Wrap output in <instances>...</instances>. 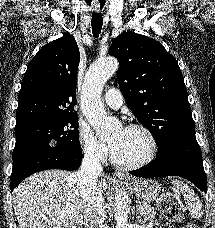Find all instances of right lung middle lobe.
Wrapping results in <instances>:
<instances>
[{
    "mask_svg": "<svg viewBox=\"0 0 215 228\" xmlns=\"http://www.w3.org/2000/svg\"><path fill=\"white\" fill-rule=\"evenodd\" d=\"M77 115L39 117L16 123L13 159L38 149L81 152Z\"/></svg>",
    "mask_w": 215,
    "mask_h": 228,
    "instance_id": "1",
    "label": "right lung middle lobe"
}]
</instances>
